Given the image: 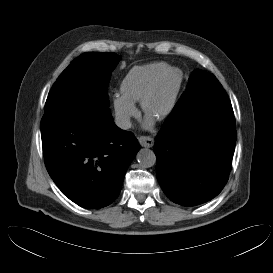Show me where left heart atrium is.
<instances>
[{
    "label": "left heart atrium",
    "instance_id": "1",
    "mask_svg": "<svg viewBox=\"0 0 273 273\" xmlns=\"http://www.w3.org/2000/svg\"><path fill=\"white\" fill-rule=\"evenodd\" d=\"M146 122H147L148 125H151L152 124V119L148 118Z\"/></svg>",
    "mask_w": 273,
    "mask_h": 273
}]
</instances>
